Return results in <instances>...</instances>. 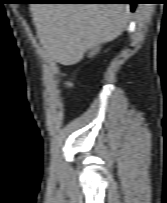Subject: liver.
<instances>
[{
  "label": "liver",
  "instance_id": "liver-1",
  "mask_svg": "<svg viewBox=\"0 0 167 203\" xmlns=\"http://www.w3.org/2000/svg\"><path fill=\"white\" fill-rule=\"evenodd\" d=\"M31 10L41 44L62 65L116 39L129 21V7L122 4H34Z\"/></svg>",
  "mask_w": 167,
  "mask_h": 203
}]
</instances>
